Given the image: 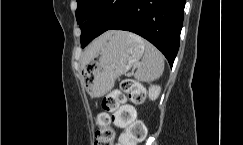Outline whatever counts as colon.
Returning a JSON list of instances; mask_svg holds the SVG:
<instances>
[{
	"mask_svg": "<svg viewBox=\"0 0 243 145\" xmlns=\"http://www.w3.org/2000/svg\"><path fill=\"white\" fill-rule=\"evenodd\" d=\"M145 98L144 89L132 79L121 81L118 89L110 92L102 101V113L96 118L97 130L94 145H137L146 135L144 124L136 119V110L125 104L128 99L140 105ZM124 129L118 144H114L116 133L113 128Z\"/></svg>",
	"mask_w": 243,
	"mask_h": 145,
	"instance_id": "obj_1",
	"label": "colon"
}]
</instances>
